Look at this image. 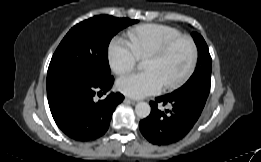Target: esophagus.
Returning a JSON list of instances; mask_svg holds the SVG:
<instances>
[{"label":"esophagus","mask_w":261,"mask_h":162,"mask_svg":"<svg viewBox=\"0 0 261 162\" xmlns=\"http://www.w3.org/2000/svg\"><path fill=\"white\" fill-rule=\"evenodd\" d=\"M125 100L128 101V102H130V103H132V104H136V103H137V101L132 100V99L127 98V97L125 98Z\"/></svg>","instance_id":"34e87169"}]
</instances>
